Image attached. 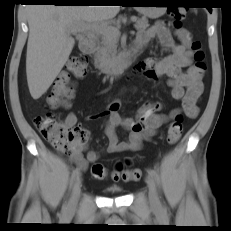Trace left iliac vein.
Segmentation results:
<instances>
[{
    "mask_svg": "<svg viewBox=\"0 0 231 231\" xmlns=\"http://www.w3.org/2000/svg\"><path fill=\"white\" fill-rule=\"evenodd\" d=\"M146 184L149 191V201L153 208L160 207V201L157 195L156 186L153 178L151 176L146 177Z\"/></svg>",
    "mask_w": 231,
    "mask_h": 231,
    "instance_id": "left-iliac-vein-1",
    "label": "left iliac vein"
}]
</instances>
